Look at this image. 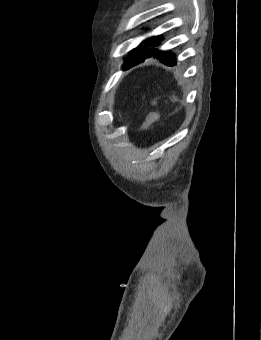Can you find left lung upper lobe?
I'll return each instance as SVG.
<instances>
[{"label":"left lung upper lobe","instance_id":"obj_1","mask_svg":"<svg viewBox=\"0 0 261 340\" xmlns=\"http://www.w3.org/2000/svg\"><path fill=\"white\" fill-rule=\"evenodd\" d=\"M160 38L161 37H151L146 39L145 41H143L142 43L145 45H139L138 48H135L134 50L131 51V55H129L127 58H125V64L133 62L139 58H141L142 56H144L145 54H149V53H160L161 51L157 50V49H151L150 47H155L160 45ZM124 64V65H125Z\"/></svg>","mask_w":261,"mask_h":340}]
</instances>
